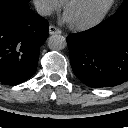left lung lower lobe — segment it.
Returning <instances> with one entry per match:
<instances>
[{"label": "left lung lower lobe", "instance_id": "1", "mask_svg": "<svg viewBox=\"0 0 128 128\" xmlns=\"http://www.w3.org/2000/svg\"><path fill=\"white\" fill-rule=\"evenodd\" d=\"M67 43L73 72L85 85L112 87L128 80V9L70 35Z\"/></svg>", "mask_w": 128, "mask_h": 128}]
</instances>
